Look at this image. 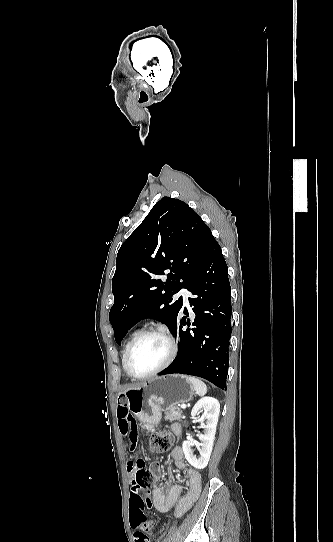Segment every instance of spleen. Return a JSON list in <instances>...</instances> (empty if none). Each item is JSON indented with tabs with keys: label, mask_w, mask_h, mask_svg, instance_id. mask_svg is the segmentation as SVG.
Returning a JSON list of instances; mask_svg holds the SVG:
<instances>
[{
	"label": "spleen",
	"mask_w": 333,
	"mask_h": 542,
	"mask_svg": "<svg viewBox=\"0 0 333 542\" xmlns=\"http://www.w3.org/2000/svg\"><path fill=\"white\" fill-rule=\"evenodd\" d=\"M188 380L198 396H205L207 394V386L202 380H198V378H188Z\"/></svg>",
	"instance_id": "obj_1"
}]
</instances>
